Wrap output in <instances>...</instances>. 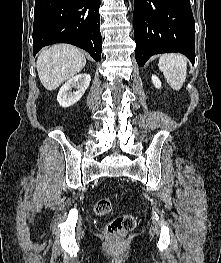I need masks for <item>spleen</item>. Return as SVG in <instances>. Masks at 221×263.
Listing matches in <instances>:
<instances>
[{"label": "spleen", "instance_id": "spleen-1", "mask_svg": "<svg viewBox=\"0 0 221 263\" xmlns=\"http://www.w3.org/2000/svg\"><path fill=\"white\" fill-rule=\"evenodd\" d=\"M158 66L168 84L174 90H180L186 81L187 59L181 54L169 53L160 56Z\"/></svg>", "mask_w": 221, "mask_h": 263}]
</instances>
